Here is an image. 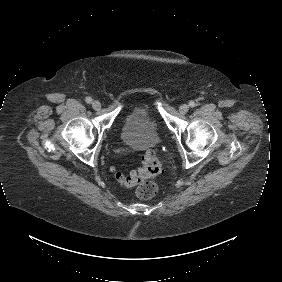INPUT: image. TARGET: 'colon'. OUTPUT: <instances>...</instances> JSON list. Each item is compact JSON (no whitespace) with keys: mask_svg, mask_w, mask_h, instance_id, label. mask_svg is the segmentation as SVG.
I'll use <instances>...</instances> for the list:
<instances>
[{"mask_svg":"<svg viewBox=\"0 0 282 282\" xmlns=\"http://www.w3.org/2000/svg\"><path fill=\"white\" fill-rule=\"evenodd\" d=\"M162 170V165L158 156L154 153H147L144 156V163L141 170L137 173L125 175L119 169H114V177L117 182L123 187H131L140 179L157 177ZM159 191V186L156 183H143L135 189V194L139 199H152Z\"/></svg>","mask_w":282,"mask_h":282,"instance_id":"colon-1","label":"colon"}]
</instances>
